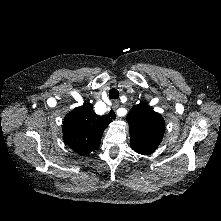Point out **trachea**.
<instances>
[{
  "label": "trachea",
  "mask_w": 221,
  "mask_h": 221,
  "mask_svg": "<svg viewBox=\"0 0 221 221\" xmlns=\"http://www.w3.org/2000/svg\"><path fill=\"white\" fill-rule=\"evenodd\" d=\"M109 98L110 99H118L119 98V91L115 88H112L109 91Z\"/></svg>",
  "instance_id": "obj_1"
}]
</instances>
